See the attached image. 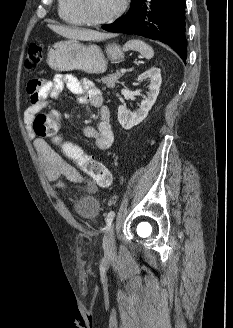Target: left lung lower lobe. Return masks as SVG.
Here are the masks:
<instances>
[{"mask_svg":"<svg viewBox=\"0 0 233 328\" xmlns=\"http://www.w3.org/2000/svg\"><path fill=\"white\" fill-rule=\"evenodd\" d=\"M185 0H132L129 12L102 29L141 35L168 44L186 60Z\"/></svg>","mask_w":233,"mask_h":328,"instance_id":"left-lung-lower-lobe-1","label":"left lung lower lobe"}]
</instances>
